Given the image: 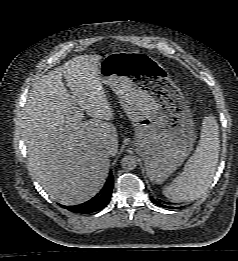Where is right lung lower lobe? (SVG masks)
<instances>
[{
  "label": "right lung lower lobe",
  "mask_w": 238,
  "mask_h": 261,
  "mask_svg": "<svg viewBox=\"0 0 238 261\" xmlns=\"http://www.w3.org/2000/svg\"><path fill=\"white\" fill-rule=\"evenodd\" d=\"M113 176L110 173L109 178L102 190L91 200L76 206H63L69 211L81 214H89L103 209L110 201L113 189Z\"/></svg>",
  "instance_id": "1"
}]
</instances>
